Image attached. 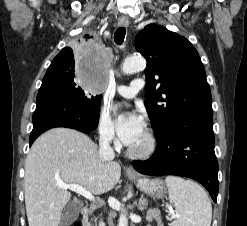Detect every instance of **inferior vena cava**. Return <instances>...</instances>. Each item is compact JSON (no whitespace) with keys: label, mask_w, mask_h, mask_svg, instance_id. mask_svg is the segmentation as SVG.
Instances as JSON below:
<instances>
[{"label":"inferior vena cava","mask_w":247,"mask_h":226,"mask_svg":"<svg viewBox=\"0 0 247 226\" xmlns=\"http://www.w3.org/2000/svg\"><path fill=\"white\" fill-rule=\"evenodd\" d=\"M114 138V131L111 128H104L101 130L99 139V156L102 161L112 160L115 157V153L110 146L111 141ZM99 226H105L104 222H100Z\"/></svg>","instance_id":"602c4592"}]
</instances>
